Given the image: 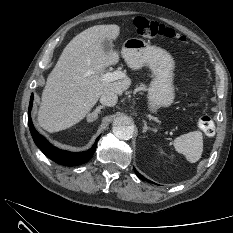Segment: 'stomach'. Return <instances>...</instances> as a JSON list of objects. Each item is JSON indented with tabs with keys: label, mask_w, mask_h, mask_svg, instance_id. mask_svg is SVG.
I'll list each match as a JSON object with an SVG mask.
<instances>
[{
	"label": "stomach",
	"mask_w": 233,
	"mask_h": 233,
	"mask_svg": "<svg viewBox=\"0 0 233 233\" xmlns=\"http://www.w3.org/2000/svg\"><path fill=\"white\" fill-rule=\"evenodd\" d=\"M121 53L130 68L148 66L154 75L148 90L149 109L156 112L171 105L175 97V62L170 53L139 38L127 39Z\"/></svg>",
	"instance_id": "0dacf381"
}]
</instances>
